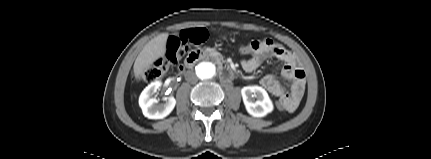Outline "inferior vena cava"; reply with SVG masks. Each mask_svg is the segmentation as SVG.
Listing matches in <instances>:
<instances>
[{
  "label": "inferior vena cava",
  "mask_w": 431,
  "mask_h": 159,
  "mask_svg": "<svg viewBox=\"0 0 431 159\" xmlns=\"http://www.w3.org/2000/svg\"><path fill=\"white\" fill-rule=\"evenodd\" d=\"M185 78H186V80H187V81H189V82H191V83H196V82L198 81L197 76H196V75H195V73H194V72H192V71H188V72L185 74Z\"/></svg>",
  "instance_id": "602c4592"
}]
</instances>
